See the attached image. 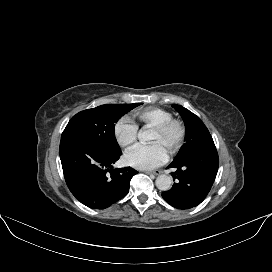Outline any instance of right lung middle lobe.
I'll return each instance as SVG.
<instances>
[{
  "mask_svg": "<svg viewBox=\"0 0 272 272\" xmlns=\"http://www.w3.org/2000/svg\"><path fill=\"white\" fill-rule=\"evenodd\" d=\"M142 103L105 104L74 115L64 129L61 139L84 138L109 151H120L115 138V124L127 112Z\"/></svg>",
  "mask_w": 272,
  "mask_h": 272,
  "instance_id": "obj_1",
  "label": "right lung middle lobe"
}]
</instances>
